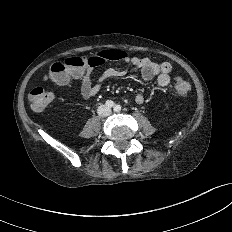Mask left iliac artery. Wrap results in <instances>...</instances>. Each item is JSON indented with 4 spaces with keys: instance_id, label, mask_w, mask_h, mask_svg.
Listing matches in <instances>:
<instances>
[{
    "instance_id": "left-iliac-artery-1",
    "label": "left iliac artery",
    "mask_w": 232,
    "mask_h": 232,
    "mask_svg": "<svg viewBox=\"0 0 232 232\" xmlns=\"http://www.w3.org/2000/svg\"><path fill=\"white\" fill-rule=\"evenodd\" d=\"M121 110L120 105H115L114 106V111L119 112Z\"/></svg>"
}]
</instances>
